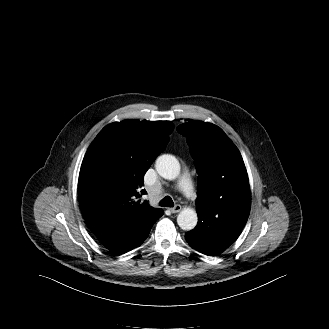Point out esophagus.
Masks as SVG:
<instances>
[{
    "label": "esophagus",
    "mask_w": 329,
    "mask_h": 329,
    "mask_svg": "<svg viewBox=\"0 0 329 329\" xmlns=\"http://www.w3.org/2000/svg\"><path fill=\"white\" fill-rule=\"evenodd\" d=\"M181 209H182L181 205H175L173 208H170L169 210L171 213H178L181 211Z\"/></svg>",
    "instance_id": "obj_1"
}]
</instances>
